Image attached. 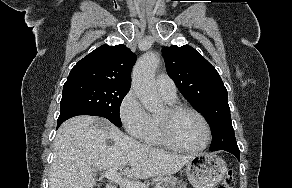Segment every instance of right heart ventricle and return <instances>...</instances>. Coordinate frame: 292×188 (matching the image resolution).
I'll return each instance as SVG.
<instances>
[{"label": "right heart ventricle", "instance_id": "right-heart-ventricle-1", "mask_svg": "<svg viewBox=\"0 0 292 188\" xmlns=\"http://www.w3.org/2000/svg\"><path fill=\"white\" fill-rule=\"evenodd\" d=\"M164 99L168 104H175V99ZM156 118V116H150V125L145 136L143 137V140L150 145L165 146L166 143L159 135Z\"/></svg>", "mask_w": 292, "mask_h": 188}]
</instances>
